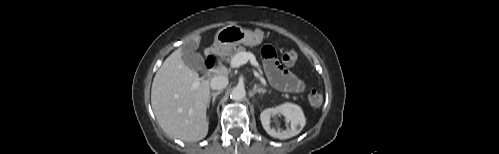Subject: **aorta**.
Wrapping results in <instances>:
<instances>
[{"label": "aorta", "instance_id": "obj_1", "mask_svg": "<svg viewBox=\"0 0 499 154\" xmlns=\"http://www.w3.org/2000/svg\"><path fill=\"white\" fill-rule=\"evenodd\" d=\"M231 99L234 101H240L246 96V91L244 87L236 86L231 92Z\"/></svg>", "mask_w": 499, "mask_h": 154}]
</instances>
